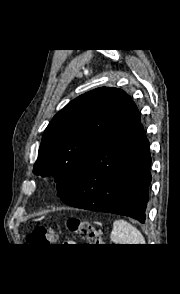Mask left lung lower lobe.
Listing matches in <instances>:
<instances>
[{
    "instance_id": "1",
    "label": "left lung lower lobe",
    "mask_w": 180,
    "mask_h": 294,
    "mask_svg": "<svg viewBox=\"0 0 180 294\" xmlns=\"http://www.w3.org/2000/svg\"><path fill=\"white\" fill-rule=\"evenodd\" d=\"M150 164L149 142L133 102L89 160L75 189L61 200L145 223Z\"/></svg>"
}]
</instances>
